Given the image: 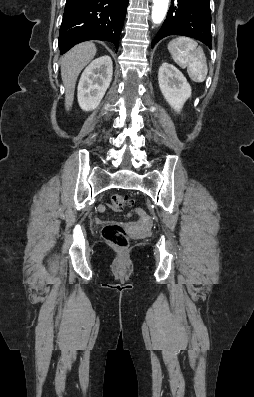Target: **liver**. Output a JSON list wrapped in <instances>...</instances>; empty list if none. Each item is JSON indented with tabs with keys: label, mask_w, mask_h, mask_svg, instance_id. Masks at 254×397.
Segmentation results:
<instances>
[{
	"label": "liver",
	"mask_w": 254,
	"mask_h": 397,
	"mask_svg": "<svg viewBox=\"0 0 254 397\" xmlns=\"http://www.w3.org/2000/svg\"><path fill=\"white\" fill-rule=\"evenodd\" d=\"M96 46L84 42L67 52L60 62L61 77L65 87V107L69 111L73 104L75 85L82 69L95 57Z\"/></svg>",
	"instance_id": "1"
}]
</instances>
